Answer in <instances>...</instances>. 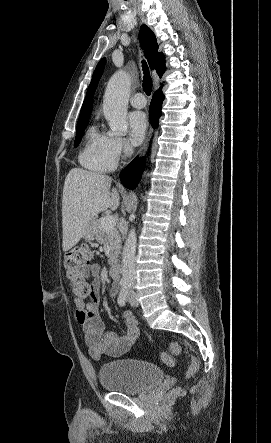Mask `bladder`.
<instances>
[{"label": "bladder", "instance_id": "31cf9c89", "mask_svg": "<svg viewBox=\"0 0 271 443\" xmlns=\"http://www.w3.org/2000/svg\"><path fill=\"white\" fill-rule=\"evenodd\" d=\"M99 381L106 390L132 394L158 385L163 379L162 370L149 362L122 358L103 364Z\"/></svg>", "mask_w": 271, "mask_h": 443}]
</instances>
